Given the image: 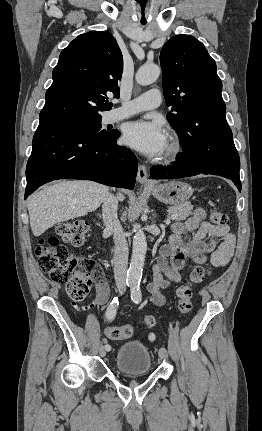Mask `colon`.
Instances as JSON below:
<instances>
[{
	"mask_svg": "<svg viewBox=\"0 0 262 431\" xmlns=\"http://www.w3.org/2000/svg\"><path fill=\"white\" fill-rule=\"evenodd\" d=\"M209 222L216 227L225 226L228 218L219 209H211ZM86 227L78 222H69L59 226L57 236H49L39 240L35 249L38 264L44 274L51 280L64 284L69 297L73 301L84 300L92 287L93 278L100 275V269L90 258H76L70 254L65 244L77 246L83 243ZM205 278V268L195 267L189 280L182 283L176 291L178 310L182 315L192 310V287L200 284ZM144 325L153 328L156 320L148 315ZM134 334L132 325L109 327L106 335L111 340H125Z\"/></svg>",
	"mask_w": 262,
	"mask_h": 431,
	"instance_id": "5ec220e1",
	"label": "colon"
}]
</instances>
